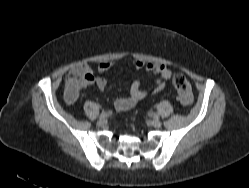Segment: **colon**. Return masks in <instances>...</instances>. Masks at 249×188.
Instances as JSON below:
<instances>
[{"label": "colon", "instance_id": "colon-1", "mask_svg": "<svg viewBox=\"0 0 249 188\" xmlns=\"http://www.w3.org/2000/svg\"><path fill=\"white\" fill-rule=\"evenodd\" d=\"M77 75V70L72 69L71 75ZM173 87L178 94V98L183 105H190L193 101V94L190 82L182 74H176L172 80Z\"/></svg>", "mask_w": 249, "mask_h": 188}]
</instances>
